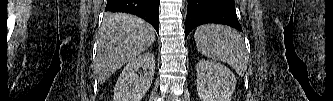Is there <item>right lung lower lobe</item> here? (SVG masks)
I'll return each instance as SVG.
<instances>
[{
	"label": "right lung lower lobe",
	"instance_id": "obj_1",
	"mask_svg": "<svg viewBox=\"0 0 333 101\" xmlns=\"http://www.w3.org/2000/svg\"><path fill=\"white\" fill-rule=\"evenodd\" d=\"M160 0H108L106 12H126L149 22L159 34Z\"/></svg>",
	"mask_w": 333,
	"mask_h": 101
}]
</instances>
